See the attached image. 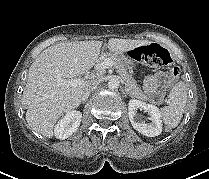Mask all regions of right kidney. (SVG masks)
<instances>
[{"mask_svg": "<svg viewBox=\"0 0 209 179\" xmlns=\"http://www.w3.org/2000/svg\"><path fill=\"white\" fill-rule=\"evenodd\" d=\"M82 120L80 111L71 110L63 116L54 128V135L60 140H64L71 136L79 127Z\"/></svg>", "mask_w": 209, "mask_h": 179, "instance_id": "right-kidney-1", "label": "right kidney"}]
</instances>
